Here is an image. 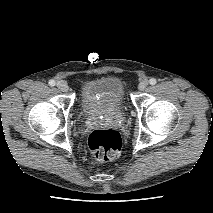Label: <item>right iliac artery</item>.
<instances>
[{
  "label": "right iliac artery",
  "instance_id": "obj_1",
  "mask_svg": "<svg viewBox=\"0 0 213 213\" xmlns=\"http://www.w3.org/2000/svg\"><path fill=\"white\" fill-rule=\"evenodd\" d=\"M48 84H49L50 86H55L56 82H55L54 80H50V81L48 82Z\"/></svg>",
  "mask_w": 213,
  "mask_h": 213
}]
</instances>
